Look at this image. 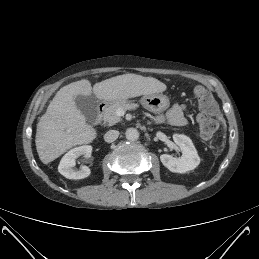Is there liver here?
Segmentation results:
<instances>
[{
	"mask_svg": "<svg viewBox=\"0 0 259 259\" xmlns=\"http://www.w3.org/2000/svg\"><path fill=\"white\" fill-rule=\"evenodd\" d=\"M165 90L166 85L159 80L131 73L98 82L93 88L86 79L60 88L37 124L35 143L40 160L48 164L73 146L95 139L96 131L86 123L75 104V96L94 93L96 98L111 102Z\"/></svg>",
	"mask_w": 259,
	"mask_h": 259,
	"instance_id": "liver-1",
	"label": "liver"
}]
</instances>
